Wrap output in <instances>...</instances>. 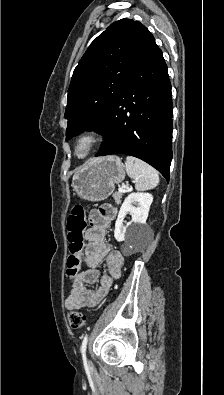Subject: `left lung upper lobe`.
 Returning <instances> with one entry per match:
<instances>
[{
  "instance_id": "1",
  "label": "left lung upper lobe",
  "mask_w": 224,
  "mask_h": 395,
  "mask_svg": "<svg viewBox=\"0 0 224 395\" xmlns=\"http://www.w3.org/2000/svg\"><path fill=\"white\" fill-rule=\"evenodd\" d=\"M155 46L151 32L131 19L114 22L90 44L68 90L67 140L85 130L101 132L110 107Z\"/></svg>"
}]
</instances>
